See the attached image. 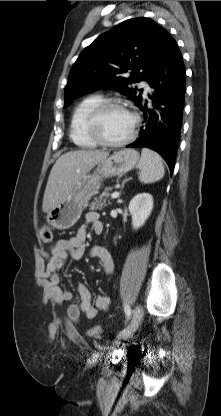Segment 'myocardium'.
<instances>
[{
    "label": "myocardium",
    "instance_id": "1",
    "mask_svg": "<svg viewBox=\"0 0 221 416\" xmlns=\"http://www.w3.org/2000/svg\"><path fill=\"white\" fill-rule=\"evenodd\" d=\"M118 107L132 116V127L129 135L120 141L107 140L100 131L99 123L102 114L109 108ZM140 124V117L132 108L119 99H105L100 102L89 114L86 129L88 134L99 144L111 148H119L129 144L136 136Z\"/></svg>",
    "mask_w": 221,
    "mask_h": 416
}]
</instances>
